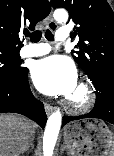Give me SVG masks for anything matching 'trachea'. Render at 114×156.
Wrapping results in <instances>:
<instances>
[{"label": "trachea", "mask_w": 114, "mask_h": 156, "mask_svg": "<svg viewBox=\"0 0 114 156\" xmlns=\"http://www.w3.org/2000/svg\"><path fill=\"white\" fill-rule=\"evenodd\" d=\"M26 36L30 37L31 42L36 43V42L40 41L42 33H41V31H35L32 33H27ZM45 37L48 41L54 40V35L52 34V32L50 30H46Z\"/></svg>", "instance_id": "3493384b"}]
</instances>
